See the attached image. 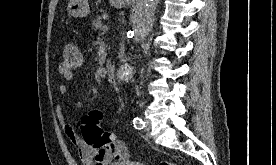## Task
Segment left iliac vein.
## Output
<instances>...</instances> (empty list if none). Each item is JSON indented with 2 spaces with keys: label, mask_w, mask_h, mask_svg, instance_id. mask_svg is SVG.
<instances>
[{
  "label": "left iliac vein",
  "mask_w": 276,
  "mask_h": 165,
  "mask_svg": "<svg viewBox=\"0 0 276 165\" xmlns=\"http://www.w3.org/2000/svg\"><path fill=\"white\" fill-rule=\"evenodd\" d=\"M151 129V121L149 119L145 120V131H150Z\"/></svg>",
  "instance_id": "1"
}]
</instances>
